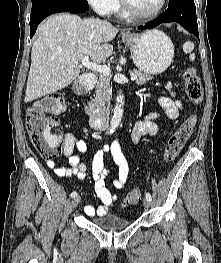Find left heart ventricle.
Wrapping results in <instances>:
<instances>
[{"mask_svg": "<svg viewBox=\"0 0 221 263\" xmlns=\"http://www.w3.org/2000/svg\"><path fill=\"white\" fill-rule=\"evenodd\" d=\"M129 2L139 11L150 12L159 6L161 0H129Z\"/></svg>", "mask_w": 221, "mask_h": 263, "instance_id": "1", "label": "left heart ventricle"}]
</instances>
